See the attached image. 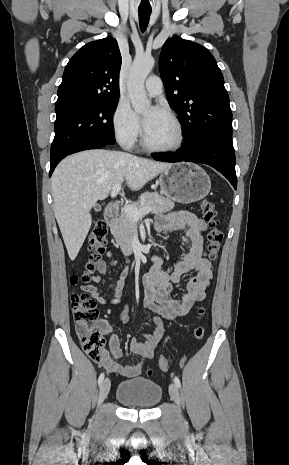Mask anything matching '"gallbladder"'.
I'll list each match as a JSON object with an SVG mask.
<instances>
[{
    "mask_svg": "<svg viewBox=\"0 0 289 465\" xmlns=\"http://www.w3.org/2000/svg\"><path fill=\"white\" fill-rule=\"evenodd\" d=\"M94 209L98 211V210H101V207L96 204V205H94Z\"/></svg>",
    "mask_w": 289,
    "mask_h": 465,
    "instance_id": "gallbladder-1",
    "label": "gallbladder"
}]
</instances>
